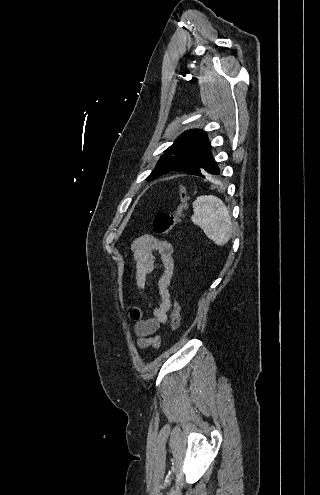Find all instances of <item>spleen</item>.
<instances>
[{
  "label": "spleen",
  "instance_id": "obj_1",
  "mask_svg": "<svg viewBox=\"0 0 320 495\" xmlns=\"http://www.w3.org/2000/svg\"><path fill=\"white\" fill-rule=\"evenodd\" d=\"M191 220L218 246L225 245L231 238V216L224 202L214 195L197 197Z\"/></svg>",
  "mask_w": 320,
  "mask_h": 495
}]
</instances>
